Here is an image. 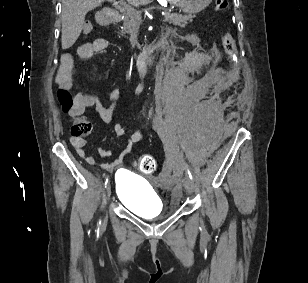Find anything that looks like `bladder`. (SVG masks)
Here are the masks:
<instances>
[{"label": "bladder", "instance_id": "obj_1", "mask_svg": "<svg viewBox=\"0 0 308 283\" xmlns=\"http://www.w3.org/2000/svg\"><path fill=\"white\" fill-rule=\"evenodd\" d=\"M115 195L119 202L143 218H156L165 213L164 204L151 184L126 170L115 176Z\"/></svg>", "mask_w": 308, "mask_h": 283}]
</instances>
